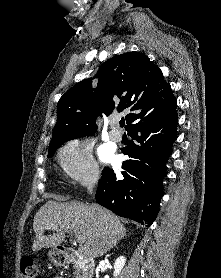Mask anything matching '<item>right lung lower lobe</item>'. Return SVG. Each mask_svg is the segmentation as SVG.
<instances>
[{
	"instance_id": "right-lung-lower-lobe-1",
	"label": "right lung lower lobe",
	"mask_w": 221,
	"mask_h": 278,
	"mask_svg": "<svg viewBox=\"0 0 221 278\" xmlns=\"http://www.w3.org/2000/svg\"><path fill=\"white\" fill-rule=\"evenodd\" d=\"M176 108L127 130L135 140H130L122 151L129 159L123 162L120 173L103 170L95 195L100 205L141 224L149 226L154 222L163 196L165 161L177 137Z\"/></svg>"
}]
</instances>
